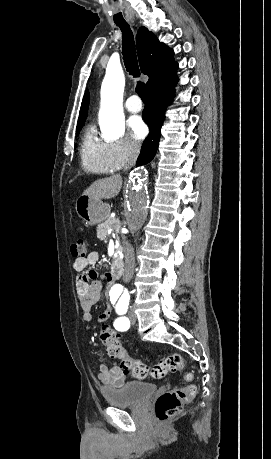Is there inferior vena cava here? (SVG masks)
<instances>
[{
    "label": "inferior vena cava",
    "mask_w": 271,
    "mask_h": 459,
    "mask_svg": "<svg viewBox=\"0 0 271 459\" xmlns=\"http://www.w3.org/2000/svg\"><path fill=\"white\" fill-rule=\"evenodd\" d=\"M131 164H133V162H131ZM131 164H129V166H131ZM129 166H128V168H129ZM125 170H127V168H125ZM126 277H127V275H126Z\"/></svg>",
    "instance_id": "obj_1"
}]
</instances>
